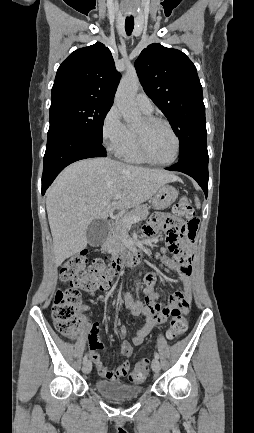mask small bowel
<instances>
[{"mask_svg": "<svg viewBox=\"0 0 254 433\" xmlns=\"http://www.w3.org/2000/svg\"><path fill=\"white\" fill-rule=\"evenodd\" d=\"M174 224L169 220L168 215H157L151 218L149 223L143 229V237L145 240H152L156 232L162 228L173 227ZM160 262L165 267L174 270L178 273L183 281V287L172 295L168 304L159 302L160 293L154 290L157 272L151 271L144 277L143 293L145 295V303L135 302L131 296H125V305L132 316H142L145 318V324L140 328L132 337L131 342L125 339L127 329L121 327L117 330L118 336L121 338L120 353L129 358L132 355L133 347L139 346L143 343L145 337L156 326L162 325L167 322L170 309L173 305L177 304L181 299L189 301L191 279L193 276V254L190 245L187 247L185 254H173L171 257L163 255L160 257ZM112 285V279L102 284L98 290L106 291ZM93 295V292L89 293ZM99 323H93L89 337L90 358L97 367L98 373L101 377L108 380H118L127 376L130 370L129 361H124L117 366L116 369L110 370L101 360L100 351L104 349L103 343L100 341Z\"/></svg>", "mask_w": 254, "mask_h": 433, "instance_id": "small-bowel-1", "label": "small bowel"}]
</instances>
